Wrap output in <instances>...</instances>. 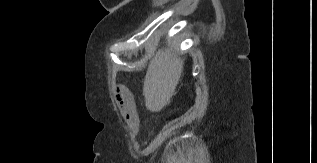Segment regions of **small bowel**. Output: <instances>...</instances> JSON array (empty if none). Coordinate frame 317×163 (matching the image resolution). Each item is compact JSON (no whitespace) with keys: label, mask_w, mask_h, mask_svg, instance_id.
I'll return each instance as SVG.
<instances>
[{"label":"small bowel","mask_w":317,"mask_h":163,"mask_svg":"<svg viewBox=\"0 0 317 163\" xmlns=\"http://www.w3.org/2000/svg\"><path fill=\"white\" fill-rule=\"evenodd\" d=\"M121 89V88H119ZM119 108L122 116L128 123L135 128L138 124V116L135 108L134 100L128 91V96L126 100L118 99Z\"/></svg>","instance_id":"obj_1"}]
</instances>
